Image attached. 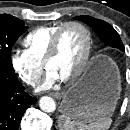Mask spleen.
I'll return each mask as SVG.
<instances>
[{
    "label": "spleen",
    "mask_w": 130,
    "mask_h": 130,
    "mask_svg": "<svg viewBox=\"0 0 130 130\" xmlns=\"http://www.w3.org/2000/svg\"><path fill=\"white\" fill-rule=\"evenodd\" d=\"M111 123V117H107L91 123L73 121L66 115H61L59 117L60 130H107L110 127Z\"/></svg>",
    "instance_id": "spleen-1"
}]
</instances>
